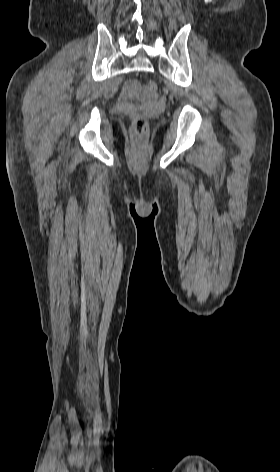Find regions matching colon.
<instances>
[{"mask_svg":"<svg viewBox=\"0 0 280 472\" xmlns=\"http://www.w3.org/2000/svg\"><path fill=\"white\" fill-rule=\"evenodd\" d=\"M147 89L149 92H155L157 90V84L151 81L147 84ZM132 131L136 138L141 139L145 137L147 133V121L142 114L136 113L133 115Z\"/></svg>","mask_w":280,"mask_h":472,"instance_id":"colon-1","label":"colon"}]
</instances>
